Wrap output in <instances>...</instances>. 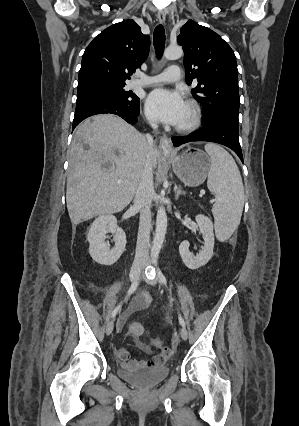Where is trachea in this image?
I'll return each instance as SVG.
<instances>
[{
  "instance_id": "obj_1",
  "label": "trachea",
  "mask_w": 299,
  "mask_h": 426,
  "mask_svg": "<svg viewBox=\"0 0 299 426\" xmlns=\"http://www.w3.org/2000/svg\"><path fill=\"white\" fill-rule=\"evenodd\" d=\"M153 43H154L156 55L160 57L165 47V30L162 25H158L154 30Z\"/></svg>"
}]
</instances>
